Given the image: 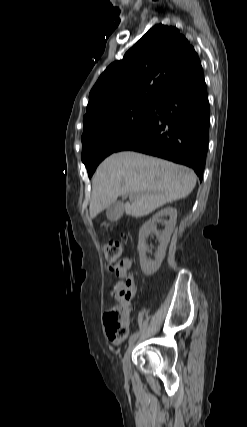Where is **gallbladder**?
<instances>
[{
	"instance_id": "1",
	"label": "gallbladder",
	"mask_w": 247,
	"mask_h": 427,
	"mask_svg": "<svg viewBox=\"0 0 247 427\" xmlns=\"http://www.w3.org/2000/svg\"><path fill=\"white\" fill-rule=\"evenodd\" d=\"M124 205L122 202H114L108 206L106 216L110 221H117L123 214Z\"/></svg>"
}]
</instances>
